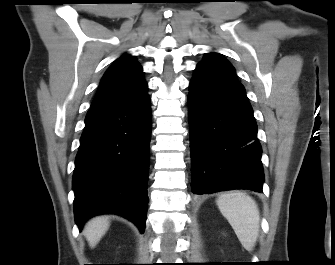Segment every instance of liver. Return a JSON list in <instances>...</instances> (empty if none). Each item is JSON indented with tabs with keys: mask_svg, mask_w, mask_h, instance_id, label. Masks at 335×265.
<instances>
[{
	"mask_svg": "<svg viewBox=\"0 0 335 265\" xmlns=\"http://www.w3.org/2000/svg\"><path fill=\"white\" fill-rule=\"evenodd\" d=\"M109 225L110 223L106 216L95 217L86 224L83 233L91 248L98 244L107 232Z\"/></svg>",
	"mask_w": 335,
	"mask_h": 265,
	"instance_id": "6515ba94",
	"label": "liver"
}]
</instances>
